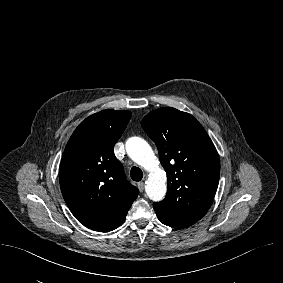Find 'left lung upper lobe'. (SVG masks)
<instances>
[{
  "label": "left lung upper lobe",
  "mask_w": 283,
  "mask_h": 283,
  "mask_svg": "<svg viewBox=\"0 0 283 283\" xmlns=\"http://www.w3.org/2000/svg\"><path fill=\"white\" fill-rule=\"evenodd\" d=\"M141 126L156 144L167 174L166 197L153 204L159 220L175 228L193 225L207 213L219 182L213 142L192 115L171 107L150 112Z\"/></svg>",
  "instance_id": "5c2ea615"
}]
</instances>
